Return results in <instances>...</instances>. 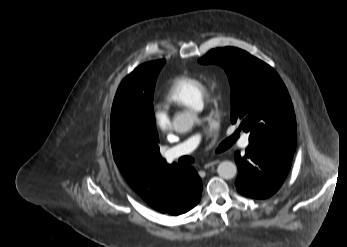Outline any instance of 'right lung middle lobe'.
<instances>
[{
	"label": "right lung middle lobe",
	"instance_id": "obj_1",
	"mask_svg": "<svg viewBox=\"0 0 347 247\" xmlns=\"http://www.w3.org/2000/svg\"><path fill=\"white\" fill-rule=\"evenodd\" d=\"M165 60L144 63L120 84L111 111V130L128 139H158L153 110L157 76Z\"/></svg>",
	"mask_w": 347,
	"mask_h": 247
}]
</instances>
